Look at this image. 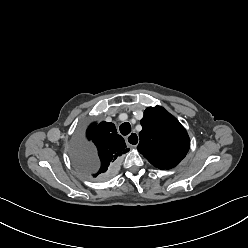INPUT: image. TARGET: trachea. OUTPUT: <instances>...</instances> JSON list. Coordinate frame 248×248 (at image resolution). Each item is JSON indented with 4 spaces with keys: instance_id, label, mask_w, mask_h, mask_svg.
I'll use <instances>...</instances> for the list:
<instances>
[{
    "instance_id": "1",
    "label": "trachea",
    "mask_w": 248,
    "mask_h": 248,
    "mask_svg": "<svg viewBox=\"0 0 248 248\" xmlns=\"http://www.w3.org/2000/svg\"><path fill=\"white\" fill-rule=\"evenodd\" d=\"M120 132L122 135L126 136L131 132V125L128 122H125L120 125Z\"/></svg>"
}]
</instances>
